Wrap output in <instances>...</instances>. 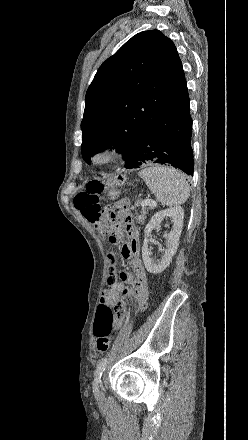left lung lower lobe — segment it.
Here are the masks:
<instances>
[{
    "label": "left lung lower lobe",
    "mask_w": 248,
    "mask_h": 440,
    "mask_svg": "<svg viewBox=\"0 0 248 440\" xmlns=\"http://www.w3.org/2000/svg\"><path fill=\"white\" fill-rule=\"evenodd\" d=\"M191 136L192 119L186 90L143 131L127 156L125 168H139L143 164L153 162L173 165L186 174L193 175Z\"/></svg>",
    "instance_id": "left-lung-lower-lobe-1"
}]
</instances>
